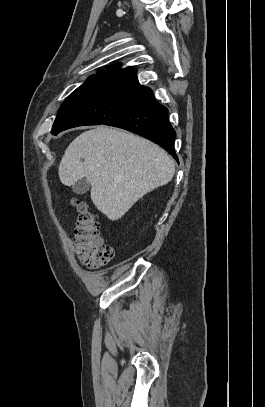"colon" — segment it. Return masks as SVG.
Returning a JSON list of instances; mask_svg holds the SVG:
<instances>
[{
	"label": "colon",
	"mask_w": 265,
	"mask_h": 407,
	"mask_svg": "<svg viewBox=\"0 0 265 407\" xmlns=\"http://www.w3.org/2000/svg\"><path fill=\"white\" fill-rule=\"evenodd\" d=\"M72 205L79 212L74 237L79 260L92 269L105 266L113 259L114 249L104 243L96 213L83 201L73 199Z\"/></svg>",
	"instance_id": "5ec220e1"
}]
</instances>
